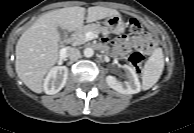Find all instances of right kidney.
I'll list each match as a JSON object with an SVG mask.
<instances>
[{
    "label": "right kidney",
    "instance_id": "ca27d5eb",
    "mask_svg": "<svg viewBox=\"0 0 194 133\" xmlns=\"http://www.w3.org/2000/svg\"><path fill=\"white\" fill-rule=\"evenodd\" d=\"M68 68L57 66L50 70L44 81V91L46 94L53 95L58 93L66 84Z\"/></svg>",
    "mask_w": 194,
    "mask_h": 133
}]
</instances>
